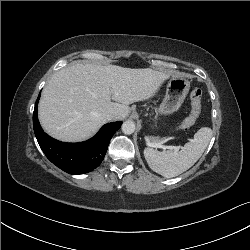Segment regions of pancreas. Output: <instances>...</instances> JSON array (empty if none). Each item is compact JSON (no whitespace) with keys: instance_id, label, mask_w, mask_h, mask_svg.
I'll return each instance as SVG.
<instances>
[{"instance_id":"1","label":"pancreas","mask_w":250,"mask_h":250,"mask_svg":"<svg viewBox=\"0 0 250 250\" xmlns=\"http://www.w3.org/2000/svg\"><path fill=\"white\" fill-rule=\"evenodd\" d=\"M151 142H153V143H159V142H163V141H161L158 137H152L151 138Z\"/></svg>"}]
</instances>
